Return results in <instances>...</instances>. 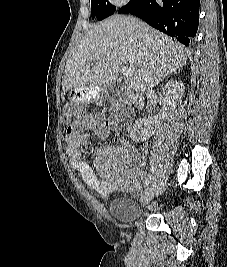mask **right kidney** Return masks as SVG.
I'll return each mask as SVG.
<instances>
[{
	"instance_id": "ca27d5eb",
	"label": "right kidney",
	"mask_w": 227,
	"mask_h": 267,
	"mask_svg": "<svg viewBox=\"0 0 227 267\" xmlns=\"http://www.w3.org/2000/svg\"><path fill=\"white\" fill-rule=\"evenodd\" d=\"M184 84L177 81H169L162 87L163 109L153 118H139L135 121L133 126L129 130L130 138L134 142L146 141L152 136L159 124L168 116L169 111H173L177 104L182 101L184 94Z\"/></svg>"
}]
</instances>
